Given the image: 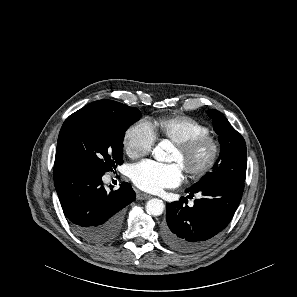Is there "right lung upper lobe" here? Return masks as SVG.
<instances>
[{
  "label": "right lung upper lobe",
  "mask_w": 297,
  "mask_h": 297,
  "mask_svg": "<svg viewBox=\"0 0 297 297\" xmlns=\"http://www.w3.org/2000/svg\"><path fill=\"white\" fill-rule=\"evenodd\" d=\"M119 102L112 100H98L90 103L75 113L89 112L109 117H116L119 114Z\"/></svg>",
  "instance_id": "right-lung-upper-lobe-1"
}]
</instances>
